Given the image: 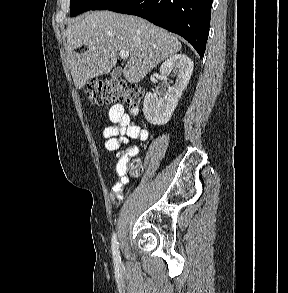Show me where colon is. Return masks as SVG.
I'll list each match as a JSON object with an SVG mask.
<instances>
[{
	"label": "colon",
	"mask_w": 288,
	"mask_h": 293,
	"mask_svg": "<svg viewBox=\"0 0 288 293\" xmlns=\"http://www.w3.org/2000/svg\"><path fill=\"white\" fill-rule=\"evenodd\" d=\"M89 99L95 104H108L122 101L132 113L138 111L143 97V89L137 85H131L121 80L100 81L93 79L86 87ZM141 164L139 160H133L129 164L132 174L139 172Z\"/></svg>",
	"instance_id": "obj_1"
}]
</instances>
